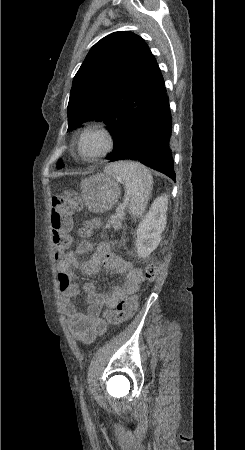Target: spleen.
<instances>
[{"mask_svg":"<svg viewBox=\"0 0 245 450\" xmlns=\"http://www.w3.org/2000/svg\"><path fill=\"white\" fill-rule=\"evenodd\" d=\"M104 172L112 174L126 186L131 216H142L153 189V178L149 170L137 162L120 161L106 167Z\"/></svg>","mask_w":245,"mask_h":450,"instance_id":"3e777b00","label":"spleen"}]
</instances>
